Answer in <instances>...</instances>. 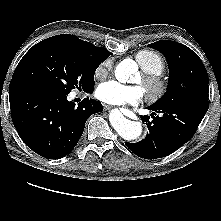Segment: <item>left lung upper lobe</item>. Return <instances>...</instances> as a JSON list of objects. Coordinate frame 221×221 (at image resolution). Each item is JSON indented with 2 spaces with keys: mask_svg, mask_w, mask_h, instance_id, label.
<instances>
[{
  "mask_svg": "<svg viewBox=\"0 0 221 221\" xmlns=\"http://www.w3.org/2000/svg\"><path fill=\"white\" fill-rule=\"evenodd\" d=\"M148 46L159 50L169 66L167 92L153 104L154 106L208 102V74L194 51L170 40H160Z\"/></svg>",
  "mask_w": 221,
  "mask_h": 221,
  "instance_id": "obj_1",
  "label": "left lung upper lobe"
}]
</instances>
